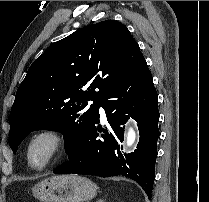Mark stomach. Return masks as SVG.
Listing matches in <instances>:
<instances>
[{"mask_svg":"<svg viewBox=\"0 0 209 202\" xmlns=\"http://www.w3.org/2000/svg\"><path fill=\"white\" fill-rule=\"evenodd\" d=\"M97 186L79 175H57L46 178L32 188L40 202H86L94 198Z\"/></svg>","mask_w":209,"mask_h":202,"instance_id":"obj_1","label":"stomach"}]
</instances>
